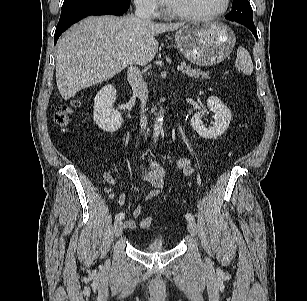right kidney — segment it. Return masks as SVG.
<instances>
[{
	"instance_id": "ca27d5eb",
	"label": "right kidney",
	"mask_w": 307,
	"mask_h": 301,
	"mask_svg": "<svg viewBox=\"0 0 307 301\" xmlns=\"http://www.w3.org/2000/svg\"><path fill=\"white\" fill-rule=\"evenodd\" d=\"M116 100V89L113 85H105L94 99V122L100 129L113 133L122 125V115L113 108Z\"/></svg>"
}]
</instances>
